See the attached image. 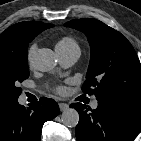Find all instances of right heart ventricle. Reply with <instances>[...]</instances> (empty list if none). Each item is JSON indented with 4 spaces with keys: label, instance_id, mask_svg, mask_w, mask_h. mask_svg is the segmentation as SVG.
Returning <instances> with one entry per match:
<instances>
[{
    "label": "right heart ventricle",
    "instance_id": "right-heart-ventricle-1",
    "mask_svg": "<svg viewBox=\"0 0 141 141\" xmlns=\"http://www.w3.org/2000/svg\"><path fill=\"white\" fill-rule=\"evenodd\" d=\"M56 51L57 53H80V45L75 38L71 36H63L56 43Z\"/></svg>",
    "mask_w": 141,
    "mask_h": 141
}]
</instances>
